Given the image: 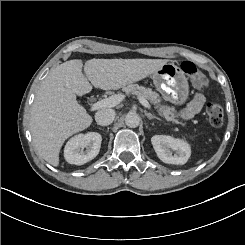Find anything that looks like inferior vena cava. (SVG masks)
<instances>
[{
    "mask_svg": "<svg viewBox=\"0 0 245 245\" xmlns=\"http://www.w3.org/2000/svg\"><path fill=\"white\" fill-rule=\"evenodd\" d=\"M115 118L113 109H101L95 114L96 122L101 126L110 125Z\"/></svg>",
    "mask_w": 245,
    "mask_h": 245,
    "instance_id": "obj_1",
    "label": "inferior vena cava"
}]
</instances>
